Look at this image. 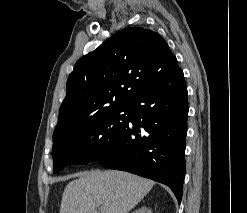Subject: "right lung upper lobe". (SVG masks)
Returning <instances> with one entry per match:
<instances>
[{
  "label": "right lung upper lobe",
  "mask_w": 247,
  "mask_h": 213,
  "mask_svg": "<svg viewBox=\"0 0 247 213\" xmlns=\"http://www.w3.org/2000/svg\"><path fill=\"white\" fill-rule=\"evenodd\" d=\"M178 68L166 41L147 28H127L77 61L53 137L129 103Z\"/></svg>",
  "instance_id": "cb5924a9"
}]
</instances>
